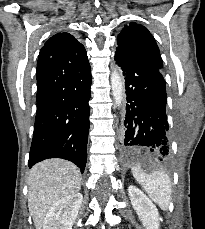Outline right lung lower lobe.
<instances>
[{
	"label": "right lung lower lobe",
	"mask_w": 205,
	"mask_h": 229,
	"mask_svg": "<svg viewBox=\"0 0 205 229\" xmlns=\"http://www.w3.org/2000/svg\"><path fill=\"white\" fill-rule=\"evenodd\" d=\"M37 112L29 155L31 168L47 158H63L81 173L87 161L90 65L70 69L57 58L37 66Z\"/></svg>",
	"instance_id": "right-lung-lower-lobe-1"
}]
</instances>
